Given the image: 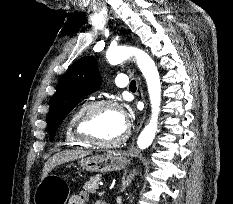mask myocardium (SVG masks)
<instances>
[{"label":"myocardium","instance_id":"f54148a6","mask_svg":"<svg viewBox=\"0 0 233 204\" xmlns=\"http://www.w3.org/2000/svg\"><path fill=\"white\" fill-rule=\"evenodd\" d=\"M101 108H113L120 113H122L121 106L109 99H102V100H96L92 101L85 106H83L80 111L77 113L74 125H73V131L75 136L83 141L84 143L91 145V146H98V147H105V148H111L116 147L125 142L129 136L130 130L129 127H126L124 133L117 139L111 140V141H99L92 137H90L85 131H84V125L89 117V115L94 112L95 110L101 109Z\"/></svg>","mask_w":233,"mask_h":204}]
</instances>
